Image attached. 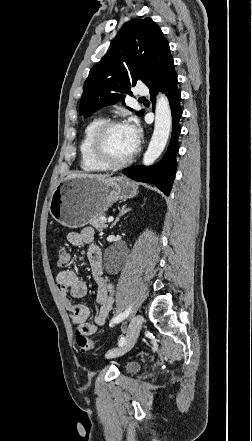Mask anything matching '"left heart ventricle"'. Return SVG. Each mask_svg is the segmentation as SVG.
Segmentation results:
<instances>
[{
  "mask_svg": "<svg viewBox=\"0 0 252 441\" xmlns=\"http://www.w3.org/2000/svg\"><path fill=\"white\" fill-rule=\"evenodd\" d=\"M103 145L106 155L114 162L125 159L134 150L125 125L111 128L104 137Z\"/></svg>",
  "mask_w": 252,
  "mask_h": 441,
  "instance_id": "b2bd125f",
  "label": "left heart ventricle"
}]
</instances>
